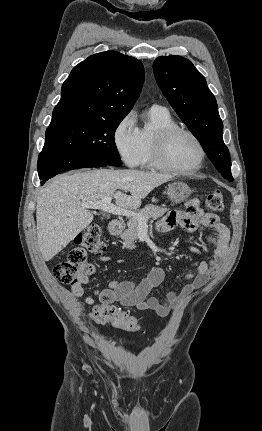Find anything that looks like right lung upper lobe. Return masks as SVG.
<instances>
[{
    "label": "right lung upper lobe",
    "mask_w": 262,
    "mask_h": 431,
    "mask_svg": "<svg viewBox=\"0 0 262 431\" xmlns=\"http://www.w3.org/2000/svg\"><path fill=\"white\" fill-rule=\"evenodd\" d=\"M144 80L142 63L116 51L89 56L73 68L61 89L50 125L124 118Z\"/></svg>",
    "instance_id": "1"
}]
</instances>
